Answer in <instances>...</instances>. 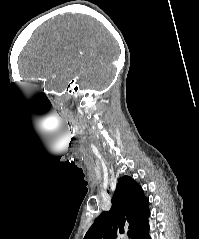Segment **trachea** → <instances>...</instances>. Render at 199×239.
<instances>
[{"label": "trachea", "mask_w": 199, "mask_h": 239, "mask_svg": "<svg viewBox=\"0 0 199 239\" xmlns=\"http://www.w3.org/2000/svg\"><path fill=\"white\" fill-rule=\"evenodd\" d=\"M131 234H132L131 231H129V232H128V237H129V238L131 237Z\"/></svg>", "instance_id": "trachea-1"}]
</instances>
